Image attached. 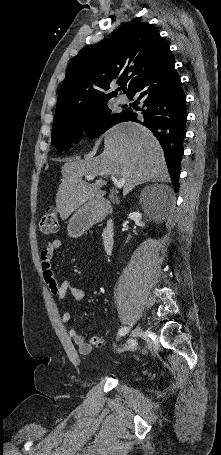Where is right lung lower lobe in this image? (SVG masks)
Listing matches in <instances>:
<instances>
[{
	"instance_id": "1",
	"label": "right lung lower lobe",
	"mask_w": 221,
	"mask_h": 455,
	"mask_svg": "<svg viewBox=\"0 0 221 455\" xmlns=\"http://www.w3.org/2000/svg\"><path fill=\"white\" fill-rule=\"evenodd\" d=\"M175 59L168 49L154 66L134 86L128 97L138 95L145 106L140 109L143 120L137 113L126 109L123 121H135L147 126L160 142L168 171L175 189H179V169L183 156V141L186 134V96L180 77L174 68Z\"/></svg>"
}]
</instances>
